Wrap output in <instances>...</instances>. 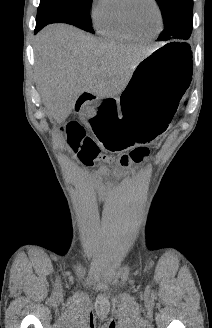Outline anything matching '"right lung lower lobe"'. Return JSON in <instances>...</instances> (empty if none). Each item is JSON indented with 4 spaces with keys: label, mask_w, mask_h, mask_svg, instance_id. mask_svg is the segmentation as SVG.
<instances>
[{
    "label": "right lung lower lobe",
    "mask_w": 212,
    "mask_h": 328,
    "mask_svg": "<svg viewBox=\"0 0 212 328\" xmlns=\"http://www.w3.org/2000/svg\"><path fill=\"white\" fill-rule=\"evenodd\" d=\"M45 26V24L44 23H38V22H36V28H35V34L40 30V29H42L43 27Z\"/></svg>",
    "instance_id": "right-lung-lower-lobe-1"
}]
</instances>
